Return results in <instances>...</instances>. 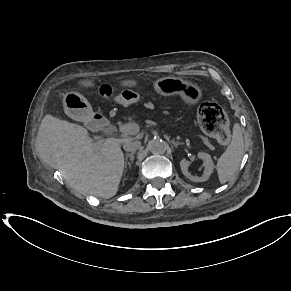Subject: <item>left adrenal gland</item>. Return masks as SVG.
Listing matches in <instances>:
<instances>
[{
  "label": "left adrenal gland",
  "instance_id": "a2214340",
  "mask_svg": "<svg viewBox=\"0 0 291 291\" xmlns=\"http://www.w3.org/2000/svg\"><path fill=\"white\" fill-rule=\"evenodd\" d=\"M172 144L174 145V147H178V145H181V144H183V143H181V142H176V141H174V140H172Z\"/></svg>",
  "mask_w": 291,
  "mask_h": 291
}]
</instances>
